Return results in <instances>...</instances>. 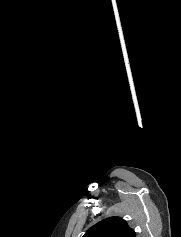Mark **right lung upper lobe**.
Listing matches in <instances>:
<instances>
[{
    "mask_svg": "<svg viewBox=\"0 0 181 237\" xmlns=\"http://www.w3.org/2000/svg\"><path fill=\"white\" fill-rule=\"evenodd\" d=\"M83 237H135V233L120 217H110L92 226Z\"/></svg>",
    "mask_w": 181,
    "mask_h": 237,
    "instance_id": "right-lung-upper-lobe-1",
    "label": "right lung upper lobe"
}]
</instances>
